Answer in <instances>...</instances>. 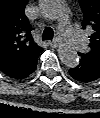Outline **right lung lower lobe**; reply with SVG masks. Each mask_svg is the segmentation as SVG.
Returning a JSON list of instances; mask_svg holds the SVG:
<instances>
[{"label":"right lung lower lobe","mask_w":100,"mask_h":118,"mask_svg":"<svg viewBox=\"0 0 100 118\" xmlns=\"http://www.w3.org/2000/svg\"><path fill=\"white\" fill-rule=\"evenodd\" d=\"M36 63H37V62H36ZM35 68H36V64L33 66V68H32L31 71L27 74L26 77H28L32 72H34ZM26 77H24V78H26Z\"/></svg>","instance_id":"right-lung-lower-lobe-1"}]
</instances>
